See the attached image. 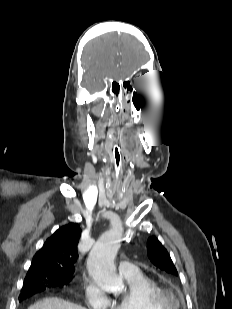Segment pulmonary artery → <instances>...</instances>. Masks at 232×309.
Here are the masks:
<instances>
[{
  "instance_id": "1",
  "label": "pulmonary artery",
  "mask_w": 232,
  "mask_h": 309,
  "mask_svg": "<svg viewBox=\"0 0 232 309\" xmlns=\"http://www.w3.org/2000/svg\"><path fill=\"white\" fill-rule=\"evenodd\" d=\"M118 270L123 277L139 272L138 267L128 261H120L118 264Z\"/></svg>"
}]
</instances>
